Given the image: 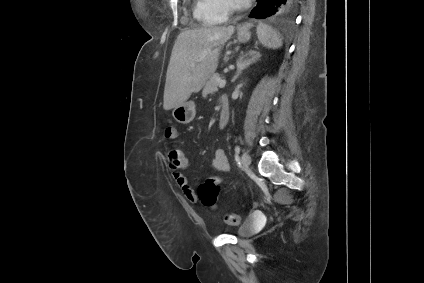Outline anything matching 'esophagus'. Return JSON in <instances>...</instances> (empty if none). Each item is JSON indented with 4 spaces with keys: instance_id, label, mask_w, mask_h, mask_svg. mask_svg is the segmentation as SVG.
<instances>
[{
    "instance_id": "esophagus-1",
    "label": "esophagus",
    "mask_w": 424,
    "mask_h": 283,
    "mask_svg": "<svg viewBox=\"0 0 424 283\" xmlns=\"http://www.w3.org/2000/svg\"><path fill=\"white\" fill-rule=\"evenodd\" d=\"M250 27L248 23L244 24L242 27L239 28V31H245Z\"/></svg>"
}]
</instances>
